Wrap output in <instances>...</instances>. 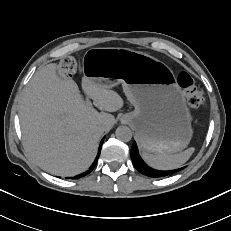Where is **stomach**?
Masks as SVG:
<instances>
[{
  "instance_id": "1",
  "label": "stomach",
  "mask_w": 231,
  "mask_h": 231,
  "mask_svg": "<svg viewBox=\"0 0 231 231\" xmlns=\"http://www.w3.org/2000/svg\"><path fill=\"white\" fill-rule=\"evenodd\" d=\"M84 76L111 88L122 83L134 111L121 117L151 154L182 151L192 137L191 116L172 70L158 59L125 48H94L83 59Z\"/></svg>"
}]
</instances>
